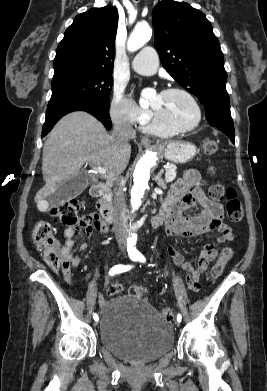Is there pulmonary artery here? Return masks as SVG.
<instances>
[{
    "mask_svg": "<svg viewBox=\"0 0 267 391\" xmlns=\"http://www.w3.org/2000/svg\"><path fill=\"white\" fill-rule=\"evenodd\" d=\"M159 65L157 51L153 47H144L132 60L131 68L141 75H152Z\"/></svg>",
    "mask_w": 267,
    "mask_h": 391,
    "instance_id": "obj_1",
    "label": "pulmonary artery"
}]
</instances>
